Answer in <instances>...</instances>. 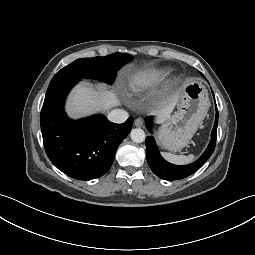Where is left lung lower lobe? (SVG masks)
<instances>
[{"label": "left lung lower lobe", "instance_id": "obj_1", "mask_svg": "<svg viewBox=\"0 0 255 255\" xmlns=\"http://www.w3.org/2000/svg\"><path fill=\"white\" fill-rule=\"evenodd\" d=\"M151 120L152 117L146 118V125L148 129L151 131ZM217 126H218V110L216 107V119L214 123V127L211 134V141L206 149V151L203 153V155L196 160L195 162L184 165V166H178L171 163H168L165 161L156 146L155 140L152 136H148L146 138V158L149 167L153 171L154 174H156L158 177L172 181V180H179L186 178L193 174L195 171H197L203 163H205L212 153L214 152L215 145H216V137H217Z\"/></svg>", "mask_w": 255, "mask_h": 255}]
</instances>
